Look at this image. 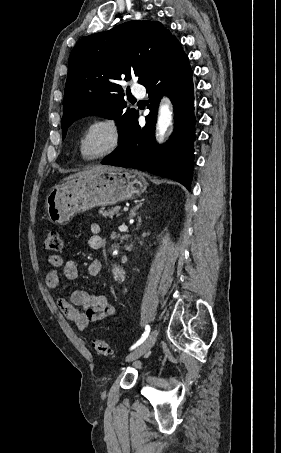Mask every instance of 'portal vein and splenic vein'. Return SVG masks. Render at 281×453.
Returning a JSON list of instances; mask_svg holds the SVG:
<instances>
[{"label":"portal vein and splenic vein","instance_id":"1","mask_svg":"<svg viewBox=\"0 0 281 453\" xmlns=\"http://www.w3.org/2000/svg\"><path fill=\"white\" fill-rule=\"evenodd\" d=\"M122 211H123V212H129V211H130V208H129V207H123V208H122Z\"/></svg>","mask_w":281,"mask_h":453}]
</instances>
